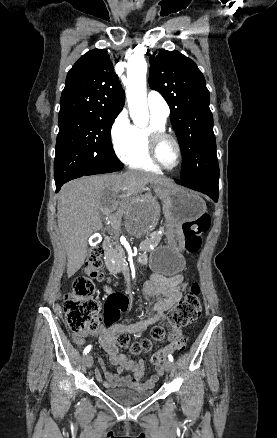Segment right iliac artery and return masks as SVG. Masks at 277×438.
<instances>
[{"instance_id":"1","label":"right iliac artery","mask_w":277,"mask_h":438,"mask_svg":"<svg viewBox=\"0 0 277 438\" xmlns=\"http://www.w3.org/2000/svg\"><path fill=\"white\" fill-rule=\"evenodd\" d=\"M91 348V345L86 346L83 353L86 355L91 350Z\"/></svg>"}]
</instances>
